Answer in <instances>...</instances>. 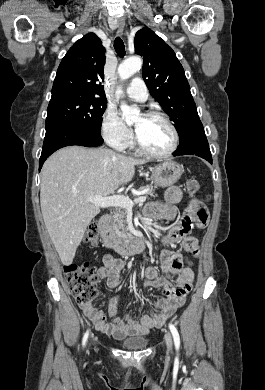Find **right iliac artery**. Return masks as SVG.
<instances>
[{
    "mask_svg": "<svg viewBox=\"0 0 265 390\" xmlns=\"http://www.w3.org/2000/svg\"><path fill=\"white\" fill-rule=\"evenodd\" d=\"M88 336H89V330L86 331V333L84 334V337H83V340H82V345L85 346L87 340H88Z\"/></svg>",
    "mask_w": 265,
    "mask_h": 390,
    "instance_id": "82829eb1",
    "label": "right iliac artery"
}]
</instances>
